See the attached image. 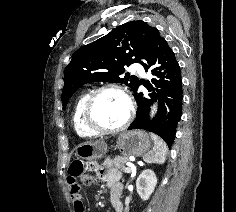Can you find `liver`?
Returning a JSON list of instances; mask_svg holds the SVG:
<instances>
[{"mask_svg": "<svg viewBox=\"0 0 236 212\" xmlns=\"http://www.w3.org/2000/svg\"><path fill=\"white\" fill-rule=\"evenodd\" d=\"M95 143H97V144H98V143H104V142H103V141H96Z\"/></svg>", "mask_w": 236, "mask_h": 212, "instance_id": "liver-1", "label": "liver"}]
</instances>
